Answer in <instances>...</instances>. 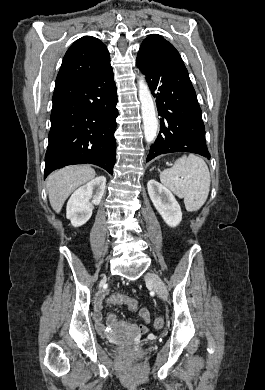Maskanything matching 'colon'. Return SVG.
<instances>
[{
    "instance_id": "obj_1",
    "label": "colon",
    "mask_w": 265,
    "mask_h": 390,
    "mask_svg": "<svg viewBox=\"0 0 265 390\" xmlns=\"http://www.w3.org/2000/svg\"><path fill=\"white\" fill-rule=\"evenodd\" d=\"M108 302L111 304H126L127 307L130 310H136L138 307V302L136 299L123 294V293H117L108 298ZM163 327V320L162 318L158 317L154 320V328L155 329H161Z\"/></svg>"
}]
</instances>
